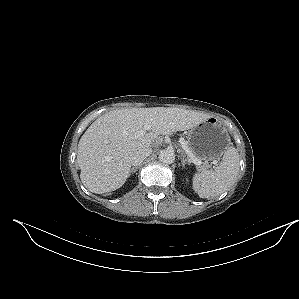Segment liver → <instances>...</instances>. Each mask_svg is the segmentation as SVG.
Returning a JSON list of instances; mask_svg holds the SVG:
<instances>
[{"mask_svg": "<svg viewBox=\"0 0 299 299\" xmlns=\"http://www.w3.org/2000/svg\"><path fill=\"white\" fill-rule=\"evenodd\" d=\"M211 116L179 108L150 107L112 110L96 119L78 144L77 163L83 185L102 194L120 188L130 175L131 157L151 148L159 135L192 129ZM149 125V132L135 133Z\"/></svg>", "mask_w": 299, "mask_h": 299, "instance_id": "6515ba94", "label": "liver"}]
</instances>
